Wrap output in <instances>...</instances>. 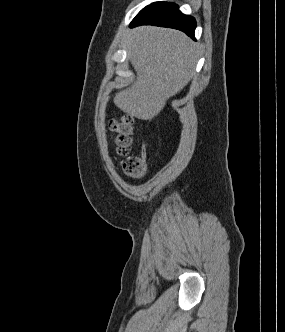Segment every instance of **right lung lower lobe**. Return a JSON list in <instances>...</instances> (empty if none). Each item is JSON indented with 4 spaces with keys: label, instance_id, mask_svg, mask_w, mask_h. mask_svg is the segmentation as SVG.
<instances>
[{
    "label": "right lung lower lobe",
    "instance_id": "98d812e1",
    "mask_svg": "<svg viewBox=\"0 0 285 332\" xmlns=\"http://www.w3.org/2000/svg\"><path fill=\"white\" fill-rule=\"evenodd\" d=\"M140 25H156L175 28L185 32L192 39L196 28V21L191 16L182 14L174 3L155 2L145 7L133 19L130 27Z\"/></svg>",
    "mask_w": 285,
    "mask_h": 332
}]
</instances>
